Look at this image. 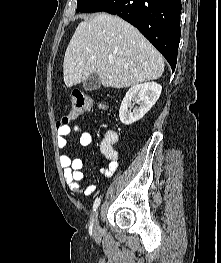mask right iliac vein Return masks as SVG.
I'll return each mask as SVG.
<instances>
[{
  "instance_id": "right-iliac-vein-1",
  "label": "right iliac vein",
  "mask_w": 221,
  "mask_h": 263,
  "mask_svg": "<svg viewBox=\"0 0 221 263\" xmlns=\"http://www.w3.org/2000/svg\"><path fill=\"white\" fill-rule=\"evenodd\" d=\"M99 231V211L95 213L93 232L97 234Z\"/></svg>"
}]
</instances>
